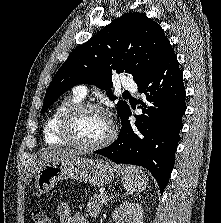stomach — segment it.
Listing matches in <instances>:
<instances>
[{
    "mask_svg": "<svg viewBox=\"0 0 221 223\" xmlns=\"http://www.w3.org/2000/svg\"><path fill=\"white\" fill-rule=\"evenodd\" d=\"M63 179L104 186L114 180V169L104 160L78 156L62 158L41 166L36 174L35 185L40 193H47Z\"/></svg>",
    "mask_w": 221,
    "mask_h": 223,
    "instance_id": "1",
    "label": "stomach"
}]
</instances>
